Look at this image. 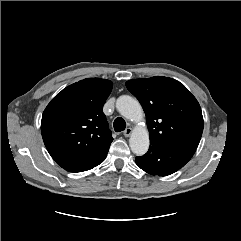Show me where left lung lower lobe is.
<instances>
[{"mask_svg": "<svg viewBox=\"0 0 241 241\" xmlns=\"http://www.w3.org/2000/svg\"><path fill=\"white\" fill-rule=\"evenodd\" d=\"M196 148L150 141L148 152L136 157V164L151 175L167 176L182 168L193 156Z\"/></svg>", "mask_w": 241, "mask_h": 241, "instance_id": "1", "label": "left lung lower lobe"}]
</instances>
